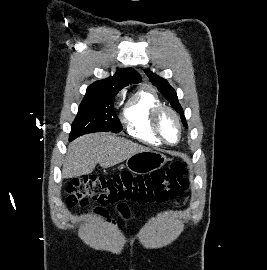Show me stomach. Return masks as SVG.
Listing matches in <instances>:
<instances>
[{"label":"stomach","mask_w":267,"mask_h":270,"mask_svg":"<svg viewBox=\"0 0 267 270\" xmlns=\"http://www.w3.org/2000/svg\"><path fill=\"white\" fill-rule=\"evenodd\" d=\"M166 161V156L160 152L141 151L127 159L126 167L131 173L147 174L160 169Z\"/></svg>","instance_id":"0dacf381"}]
</instances>
